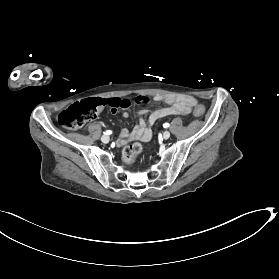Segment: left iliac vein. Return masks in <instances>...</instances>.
<instances>
[{
    "label": "left iliac vein",
    "instance_id": "left-iliac-vein-1",
    "mask_svg": "<svg viewBox=\"0 0 279 279\" xmlns=\"http://www.w3.org/2000/svg\"><path fill=\"white\" fill-rule=\"evenodd\" d=\"M170 137V132L169 131H165L164 133H163V138L164 139H168Z\"/></svg>",
    "mask_w": 279,
    "mask_h": 279
}]
</instances>
